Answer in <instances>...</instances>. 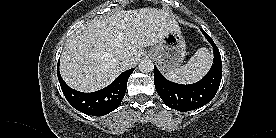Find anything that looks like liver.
I'll use <instances>...</instances> for the list:
<instances>
[{"label":"liver","mask_w":276,"mask_h":138,"mask_svg":"<svg viewBox=\"0 0 276 138\" xmlns=\"http://www.w3.org/2000/svg\"><path fill=\"white\" fill-rule=\"evenodd\" d=\"M176 29L177 21L164 8L118 10L90 20L67 39L60 59L61 76L75 90H100L134 65L144 47L158 44ZM122 55L130 56V65L120 62Z\"/></svg>","instance_id":"liver-1"}]
</instances>
